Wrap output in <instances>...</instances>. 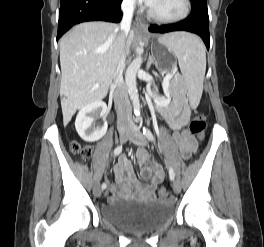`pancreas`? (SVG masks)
Instances as JSON below:
<instances>
[{"label":"pancreas","mask_w":264,"mask_h":247,"mask_svg":"<svg viewBox=\"0 0 264 247\" xmlns=\"http://www.w3.org/2000/svg\"><path fill=\"white\" fill-rule=\"evenodd\" d=\"M178 78H179V76H176L175 79L173 80V82H175V80L178 79Z\"/></svg>","instance_id":"obj_1"}]
</instances>
